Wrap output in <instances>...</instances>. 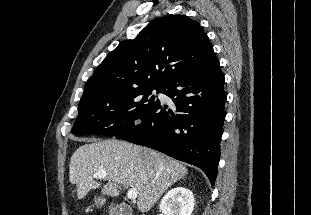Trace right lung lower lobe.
I'll use <instances>...</instances> for the list:
<instances>
[{
    "mask_svg": "<svg viewBox=\"0 0 311 215\" xmlns=\"http://www.w3.org/2000/svg\"><path fill=\"white\" fill-rule=\"evenodd\" d=\"M162 93L172 99L173 110L159 104L133 128L115 136L195 165L214 185L226 115L219 60L171 80Z\"/></svg>",
    "mask_w": 311,
    "mask_h": 215,
    "instance_id": "98d812e1",
    "label": "right lung lower lobe"
}]
</instances>
